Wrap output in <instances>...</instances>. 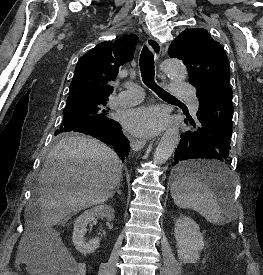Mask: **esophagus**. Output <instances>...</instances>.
<instances>
[{
	"label": "esophagus",
	"instance_id": "obj_1",
	"mask_svg": "<svg viewBox=\"0 0 263 275\" xmlns=\"http://www.w3.org/2000/svg\"><path fill=\"white\" fill-rule=\"evenodd\" d=\"M147 46L149 50L153 53L155 61L158 62L162 53V47L159 40L154 37H149L147 40ZM145 143H146V139L133 138L131 140V146L134 151L140 150Z\"/></svg>",
	"mask_w": 263,
	"mask_h": 275
}]
</instances>
